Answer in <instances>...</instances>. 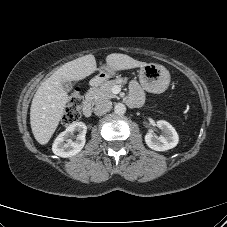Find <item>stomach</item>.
I'll list each match as a JSON object with an SVG mask.
<instances>
[{
	"instance_id": "1",
	"label": "stomach",
	"mask_w": 227,
	"mask_h": 227,
	"mask_svg": "<svg viewBox=\"0 0 227 227\" xmlns=\"http://www.w3.org/2000/svg\"><path fill=\"white\" fill-rule=\"evenodd\" d=\"M114 74V70L104 67L100 73L95 76L96 82H101ZM139 81L141 86L148 92L160 94L169 86L170 76L165 67L159 64H146L140 68Z\"/></svg>"
}]
</instances>
